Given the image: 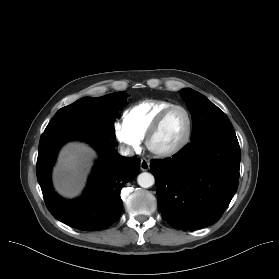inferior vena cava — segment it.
I'll use <instances>...</instances> for the list:
<instances>
[{
	"label": "inferior vena cava",
	"mask_w": 279,
	"mask_h": 279,
	"mask_svg": "<svg viewBox=\"0 0 279 279\" xmlns=\"http://www.w3.org/2000/svg\"><path fill=\"white\" fill-rule=\"evenodd\" d=\"M119 153L120 155L122 156H132L134 154V151L133 149H131L130 147L128 146H125V145H121L119 147Z\"/></svg>",
	"instance_id": "inferior-vena-cava-1"
}]
</instances>
